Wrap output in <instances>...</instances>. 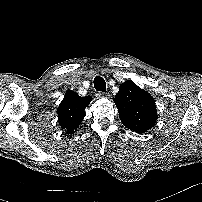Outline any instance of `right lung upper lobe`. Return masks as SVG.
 Here are the masks:
<instances>
[{"instance_id":"right-lung-upper-lobe-1","label":"right lung upper lobe","mask_w":202,"mask_h":202,"mask_svg":"<svg viewBox=\"0 0 202 202\" xmlns=\"http://www.w3.org/2000/svg\"><path fill=\"white\" fill-rule=\"evenodd\" d=\"M91 96L80 97L74 91H67L60 103L57 114L58 122L67 134H73L85 116V108L89 105Z\"/></svg>"}]
</instances>
